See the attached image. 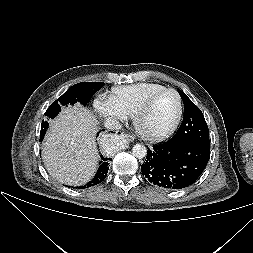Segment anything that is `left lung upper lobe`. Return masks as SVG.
<instances>
[{"instance_id": "left-lung-upper-lobe-1", "label": "left lung upper lobe", "mask_w": 253, "mask_h": 253, "mask_svg": "<svg viewBox=\"0 0 253 253\" xmlns=\"http://www.w3.org/2000/svg\"><path fill=\"white\" fill-rule=\"evenodd\" d=\"M184 103V119L171 141L192 142L210 149L209 130L201 110L178 89Z\"/></svg>"}]
</instances>
